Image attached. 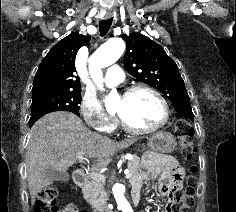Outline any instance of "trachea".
Here are the masks:
<instances>
[{
    "instance_id": "trachea-1",
    "label": "trachea",
    "mask_w": 236,
    "mask_h": 212,
    "mask_svg": "<svg viewBox=\"0 0 236 212\" xmlns=\"http://www.w3.org/2000/svg\"><path fill=\"white\" fill-rule=\"evenodd\" d=\"M112 20H113V18H110V19L102 20L99 23V30H100L101 36H105L107 34V32L109 31L110 26L112 24Z\"/></svg>"
}]
</instances>
